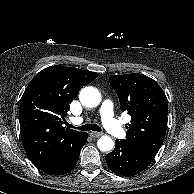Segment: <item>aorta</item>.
<instances>
[{
	"mask_svg": "<svg viewBox=\"0 0 194 194\" xmlns=\"http://www.w3.org/2000/svg\"><path fill=\"white\" fill-rule=\"evenodd\" d=\"M79 98L86 107H96L101 101L99 91L94 87H85L80 91ZM98 148L103 151H111L114 148V142L109 136H101L97 142Z\"/></svg>",
	"mask_w": 194,
	"mask_h": 194,
	"instance_id": "obj_1",
	"label": "aorta"
}]
</instances>
